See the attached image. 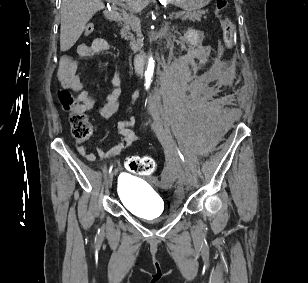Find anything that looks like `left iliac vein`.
Here are the masks:
<instances>
[{"instance_id": "obj_1", "label": "left iliac vein", "mask_w": 308, "mask_h": 283, "mask_svg": "<svg viewBox=\"0 0 308 283\" xmlns=\"http://www.w3.org/2000/svg\"><path fill=\"white\" fill-rule=\"evenodd\" d=\"M182 182L187 186V187H191L193 184V178L192 175L190 174V172L188 170H185V172L182 175Z\"/></svg>"}]
</instances>
